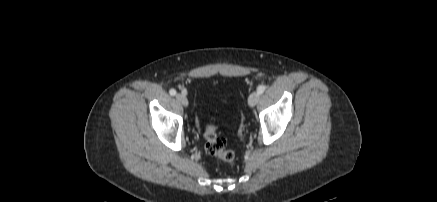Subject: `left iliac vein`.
<instances>
[{"mask_svg": "<svg viewBox=\"0 0 437 202\" xmlns=\"http://www.w3.org/2000/svg\"><path fill=\"white\" fill-rule=\"evenodd\" d=\"M259 97H260V94L258 92L251 93L249 98H248L249 106L254 107L257 104Z\"/></svg>", "mask_w": 437, "mask_h": 202, "instance_id": "left-iliac-vein-1", "label": "left iliac vein"}]
</instances>
